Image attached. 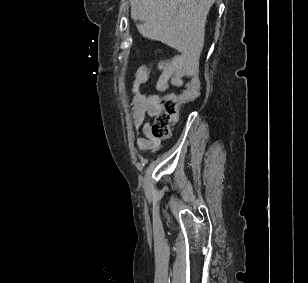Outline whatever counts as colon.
Listing matches in <instances>:
<instances>
[{"label": "colon", "instance_id": "obj_1", "mask_svg": "<svg viewBox=\"0 0 308 283\" xmlns=\"http://www.w3.org/2000/svg\"><path fill=\"white\" fill-rule=\"evenodd\" d=\"M201 86L200 64L195 59L191 79L180 93H170L158 100L159 112L151 126V134L158 139L171 135V127L176 122L180 106L197 97Z\"/></svg>", "mask_w": 308, "mask_h": 283}]
</instances>
